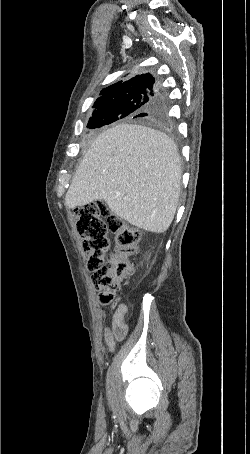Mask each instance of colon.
I'll return each instance as SVG.
<instances>
[{
  "label": "colon",
  "instance_id": "1",
  "mask_svg": "<svg viewBox=\"0 0 250 454\" xmlns=\"http://www.w3.org/2000/svg\"><path fill=\"white\" fill-rule=\"evenodd\" d=\"M76 229L86 253L87 269L99 292L102 305H110L121 289L122 280L133 273L131 257L138 251L140 233L137 229L109 213L101 202L74 209ZM114 234L111 250L109 234Z\"/></svg>",
  "mask_w": 250,
  "mask_h": 454
}]
</instances>
